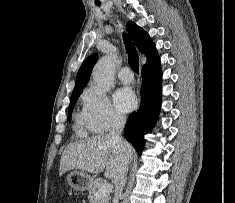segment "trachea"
Returning a JSON list of instances; mask_svg holds the SVG:
<instances>
[{
	"label": "trachea",
	"mask_w": 235,
	"mask_h": 203,
	"mask_svg": "<svg viewBox=\"0 0 235 203\" xmlns=\"http://www.w3.org/2000/svg\"><path fill=\"white\" fill-rule=\"evenodd\" d=\"M123 40L125 43L126 52L128 54L129 65L134 72L139 74V59L136 48L127 35L124 34Z\"/></svg>",
	"instance_id": "obj_1"
}]
</instances>
